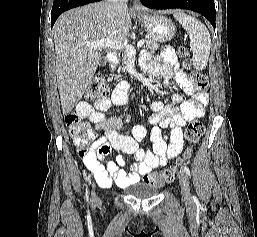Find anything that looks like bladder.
<instances>
[{"label":"bladder","instance_id":"1","mask_svg":"<svg viewBox=\"0 0 257 237\" xmlns=\"http://www.w3.org/2000/svg\"><path fill=\"white\" fill-rule=\"evenodd\" d=\"M129 194L133 197L140 199H147L156 196L159 192V188L150 186L146 183L135 182L129 187Z\"/></svg>","mask_w":257,"mask_h":237}]
</instances>
